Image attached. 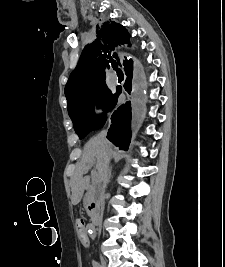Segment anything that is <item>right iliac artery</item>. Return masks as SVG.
Segmentation results:
<instances>
[{
    "instance_id": "obj_1",
    "label": "right iliac artery",
    "mask_w": 225,
    "mask_h": 267,
    "mask_svg": "<svg viewBox=\"0 0 225 267\" xmlns=\"http://www.w3.org/2000/svg\"><path fill=\"white\" fill-rule=\"evenodd\" d=\"M89 233H92L91 229L89 230ZM92 265H93V267H100V264L94 260L92 261Z\"/></svg>"
}]
</instances>
